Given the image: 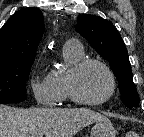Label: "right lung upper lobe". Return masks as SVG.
Instances as JSON below:
<instances>
[{
    "mask_svg": "<svg viewBox=\"0 0 144 137\" xmlns=\"http://www.w3.org/2000/svg\"><path fill=\"white\" fill-rule=\"evenodd\" d=\"M43 32L39 9L27 7L15 12L0 29V63L34 59Z\"/></svg>",
    "mask_w": 144,
    "mask_h": 137,
    "instance_id": "right-lung-upper-lobe-1",
    "label": "right lung upper lobe"
}]
</instances>
